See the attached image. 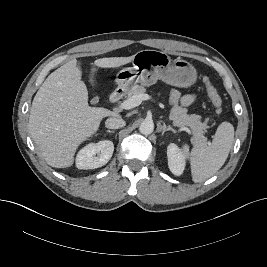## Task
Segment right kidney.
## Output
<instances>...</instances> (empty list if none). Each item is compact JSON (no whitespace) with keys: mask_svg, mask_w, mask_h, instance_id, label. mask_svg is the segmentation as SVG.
<instances>
[{"mask_svg":"<svg viewBox=\"0 0 267 267\" xmlns=\"http://www.w3.org/2000/svg\"><path fill=\"white\" fill-rule=\"evenodd\" d=\"M113 151L114 145L110 140L90 143L78 152L76 166L78 169H95L101 167L111 159Z\"/></svg>","mask_w":267,"mask_h":267,"instance_id":"obj_1","label":"right kidney"}]
</instances>
